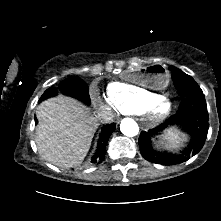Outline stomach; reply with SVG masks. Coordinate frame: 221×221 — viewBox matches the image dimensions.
Returning a JSON list of instances; mask_svg holds the SVG:
<instances>
[{
  "mask_svg": "<svg viewBox=\"0 0 221 221\" xmlns=\"http://www.w3.org/2000/svg\"><path fill=\"white\" fill-rule=\"evenodd\" d=\"M127 79L132 84L160 88L167 83L168 74L161 65L150 64L145 68H130L127 72Z\"/></svg>",
  "mask_w": 221,
  "mask_h": 221,
  "instance_id": "obj_1",
  "label": "stomach"
}]
</instances>
